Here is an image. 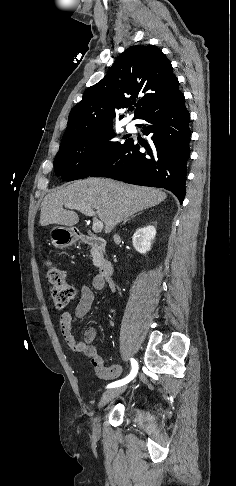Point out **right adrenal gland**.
Returning a JSON list of instances; mask_svg holds the SVG:
<instances>
[{"label":"right adrenal gland","instance_id":"obj_1","mask_svg":"<svg viewBox=\"0 0 236 486\" xmlns=\"http://www.w3.org/2000/svg\"><path fill=\"white\" fill-rule=\"evenodd\" d=\"M138 214H140V213H138ZM138 214H136V215H138ZM136 215H132L131 217L127 218L126 220H124V222L122 224H126L127 221L134 218Z\"/></svg>","mask_w":236,"mask_h":486}]
</instances>
